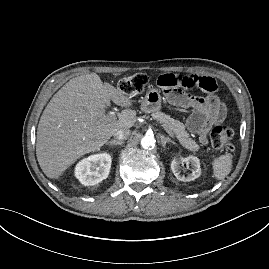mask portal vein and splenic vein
Segmentation results:
<instances>
[{
	"mask_svg": "<svg viewBox=\"0 0 269 269\" xmlns=\"http://www.w3.org/2000/svg\"><path fill=\"white\" fill-rule=\"evenodd\" d=\"M109 116H113V117H115L113 113H111ZM162 126H163V125H162ZM163 128L165 129V127H164V126H163ZM165 130H166V129H165Z\"/></svg>",
	"mask_w": 269,
	"mask_h": 269,
	"instance_id": "18ae733b",
	"label": "portal vein and splenic vein"
}]
</instances>
